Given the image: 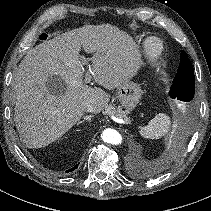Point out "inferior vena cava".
Segmentation results:
<instances>
[{
    "instance_id": "1",
    "label": "inferior vena cava",
    "mask_w": 211,
    "mask_h": 211,
    "mask_svg": "<svg viewBox=\"0 0 211 211\" xmlns=\"http://www.w3.org/2000/svg\"><path fill=\"white\" fill-rule=\"evenodd\" d=\"M95 107L92 103H86L85 105V112H91L94 113L95 112Z\"/></svg>"
}]
</instances>
